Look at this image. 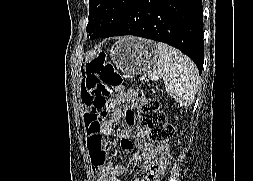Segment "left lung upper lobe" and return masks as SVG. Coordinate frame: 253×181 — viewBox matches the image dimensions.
<instances>
[{"label":"left lung upper lobe","mask_w":253,"mask_h":181,"mask_svg":"<svg viewBox=\"0 0 253 181\" xmlns=\"http://www.w3.org/2000/svg\"><path fill=\"white\" fill-rule=\"evenodd\" d=\"M131 0H89L88 37L102 36L120 18Z\"/></svg>","instance_id":"5c2ea615"}]
</instances>
